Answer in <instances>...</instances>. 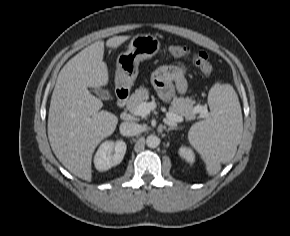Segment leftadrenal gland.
<instances>
[{"label": "left adrenal gland", "instance_id": "a2214340", "mask_svg": "<svg viewBox=\"0 0 290 236\" xmlns=\"http://www.w3.org/2000/svg\"><path fill=\"white\" fill-rule=\"evenodd\" d=\"M165 128V130L168 132V131H170V130H177V129H179V127L178 126H170V127H164Z\"/></svg>", "mask_w": 290, "mask_h": 236}]
</instances>
